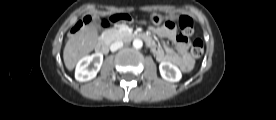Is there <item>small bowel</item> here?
Returning a JSON list of instances; mask_svg holds the SVG:
<instances>
[{
    "label": "small bowel",
    "mask_w": 276,
    "mask_h": 120,
    "mask_svg": "<svg viewBox=\"0 0 276 120\" xmlns=\"http://www.w3.org/2000/svg\"><path fill=\"white\" fill-rule=\"evenodd\" d=\"M159 37L171 40L176 49L169 46L159 45L149 33H145L149 37L148 45L158 61H167L178 65L183 72H189L193 67V60L189 54V43L187 38L180 36L173 27L167 25L159 28H151Z\"/></svg>",
    "instance_id": "small-bowel-1"
}]
</instances>
